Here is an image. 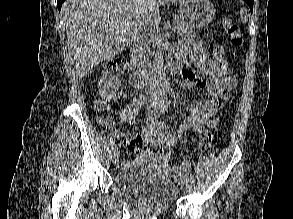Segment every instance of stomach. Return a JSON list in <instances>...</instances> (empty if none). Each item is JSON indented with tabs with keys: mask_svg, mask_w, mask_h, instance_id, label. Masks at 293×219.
<instances>
[{
	"mask_svg": "<svg viewBox=\"0 0 293 219\" xmlns=\"http://www.w3.org/2000/svg\"><path fill=\"white\" fill-rule=\"evenodd\" d=\"M179 13L192 27L202 28L212 22L215 9L210 0H181Z\"/></svg>",
	"mask_w": 293,
	"mask_h": 219,
	"instance_id": "stomach-1",
	"label": "stomach"
}]
</instances>
